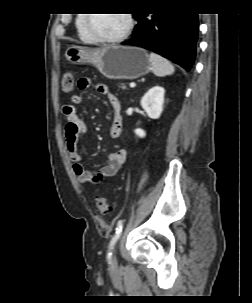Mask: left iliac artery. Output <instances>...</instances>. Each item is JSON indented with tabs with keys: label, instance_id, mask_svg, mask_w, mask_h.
<instances>
[{
	"label": "left iliac artery",
	"instance_id": "44dca946",
	"mask_svg": "<svg viewBox=\"0 0 252 303\" xmlns=\"http://www.w3.org/2000/svg\"><path fill=\"white\" fill-rule=\"evenodd\" d=\"M122 228H123V221L119 220L118 223H117L115 235L113 236V238H112V240L110 241V244H109V251H108V254H107L108 259H111L112 248H113L114 244L116 243V241L118 240V238L120 237L121 232H122Z\"/></svg>",
	"mask_w": 252,
	"mask_h": 303
}]
</instances>
